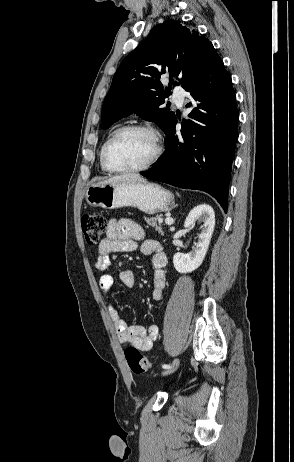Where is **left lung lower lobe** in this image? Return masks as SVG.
I'll use <instances>...</instances> for the list:
<instances>
[{
	"mask_svg": "<svg viewBox=\"0 0 294 462\" xmlns=\"http://www.w3.org/2000/svg\"><path fill=\"white\" fill-rule=\"evenodd\" d=\"M184 89L191 94L189 120L177 133L176 117L166 131V152L141 175L212 195L225 212L229 181L238 139L239 112L231 77L218 58L209 63Z\"/></svg>",
	"mask_w": 294,
	"mask_h": 462,
	"instance_id": "1",
	"label": "left lung lower lobe"
}]
</instances>
